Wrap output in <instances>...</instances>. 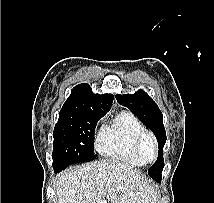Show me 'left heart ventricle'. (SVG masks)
I'll use <instances>...</instances> for the list:
<instances>
[{"label": "left heart ventricle", "instance_id": "1", "mask_svg": "<svg viewBox=\"0 0 214 203\" xmlns=\"http://www.w3.org/2000/svg\"><path fill=\"white\" fill-rule=\"evenodd\" d=\"M143 157L146 161H151L154 157V151L150 141H146L143 145Z\"/></svg>", "mask_w": 214, "mask_h": 203}]
</instances>
